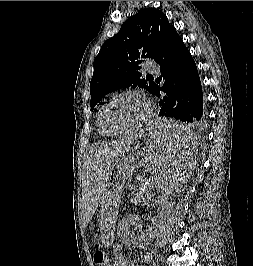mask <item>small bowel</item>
Here are the masks:
<instances>
[{"instance_id":"small-bowel-1","label":"small bowel","mask_w":253,"mask_h":266,"mask_svg":"<svg viewBox=\"0 0 253 266\" xmlns=\"http://www.w3.org/2000/svg\"><path fill=\"white\" fill-rule=\"evenodd\" d=\"M116 250H119V248H116ZM144 261H145L147 266H151L153 258L150 254H146V255H144ZM118 266H135V265L132 262H130L129 260L120 257L118 259Z\"/></svg>"}]
</instances>
